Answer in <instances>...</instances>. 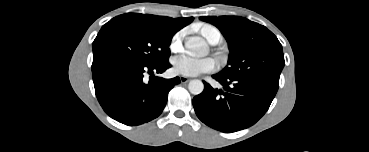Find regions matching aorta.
Listing matches in <instances>:
<instances>
[{
    "label": "aorta",
    "instance_id": "obj_1",
    "mask_svg": "<svg viewBox=\"0 0 369 152\" xmlns=\"http://www.w3.org/2000/svg\"><path fill=\"white\" fill-rule=\"evenodd\" d=\"M185 48L194 55L204 56L208 52L206 42L200 37H188L185 40ZM188 89L191 94L199 95L204 90V84L201 80L194 79L188 84Z\"/></svg>",
    "mask_w": 369,
    "mask_h": 152
}]
</instances>
